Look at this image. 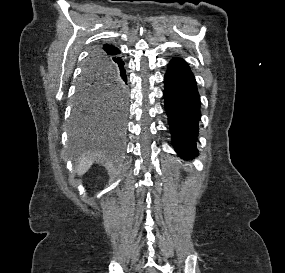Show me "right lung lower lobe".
<instances>
[{
    "label": "right lung lower lobe",
    "mask_w": 285,
    "mask_h": 273,
    "mask_svg": "<svg viewBox=\"0 0 285 273\" xmlns=\"http://www.w3.org/2000/svg\"><path fill=\"white\" fill-rule=\"evenodd\" d=\"M119 54V53H118ZM118 54L110 57V61L112 64V68L114 69L116 78L125 85L127 82V77L124 69V62L122 61L121 57Z\"/></svg>",
    "instance_id": "obj_1"
}]
</instances>
